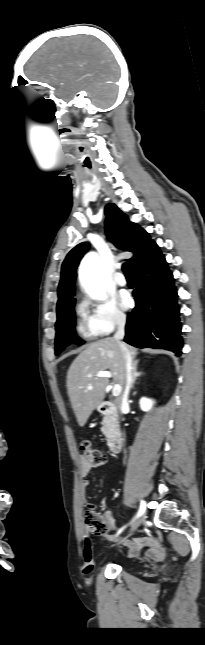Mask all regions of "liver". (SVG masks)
Returning a JSON list of instances; mask_svg holds the SVG:
<instances>
[{"label":"liver","mask_w":205,"mask_h":645,"mask_svg":"<svg viewBox=\"0 0 205 645\" xmlns=\"http://www.w3.org/2000/svg\"><path fill=\"white\" fill-rule=\"evenodd\" d=\"M124 345L134 360L137 349ZM107 370L112 373L114 383L124 389L125 360L120 343L111 337L88 344L75 358L67 372L68 396L80 427L86 424L93 410L104 399L109 379L96 377V374ZM88 386H92V389H88Z\"/></svg>","instance_id":"6515ba94"}]
</instances>
